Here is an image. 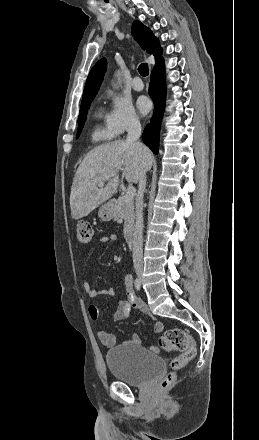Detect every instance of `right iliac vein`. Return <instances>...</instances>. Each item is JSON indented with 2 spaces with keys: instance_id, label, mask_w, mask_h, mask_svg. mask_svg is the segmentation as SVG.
Listing matches in <instances>:
<instances>
[{
  "instance_id": "obj_1",
  "label": "right iliac vein",
  "mask_w": 259,
  "mask_h": 440,
  "mask_svg": "<svg viewBox=\"0 0 259 440\" xmlns=\"http://www.w3.org/2000/svg\"><path fill=\"white\" fill-rule=\"evenodd\" d=\"M137 275H138L139 279L142 280V270L141 269L137 270Z\"/></svg>"
}]
</instances>
